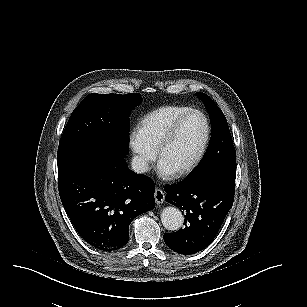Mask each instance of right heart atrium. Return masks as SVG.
Returning <instances> with one entry per match:
<instances>
[{
  "label": "right heart atrium",
  "instance_id": "obj_1",
  "mask_svg": "<svg viewBox=\"0 0 307 307\" xmlns=\"http://www.w3.org/2000/svg\"><path fill=\"white\" fill-rule=\"evenodd\" d=\"M131 144L134 147L136 158L144 163L153 159L154 153L150 148L149 140L142 133H135L131 137Z\"/></svg>",
  "mask_w": 307,
  "mask_h": 307
}]
</instances>
